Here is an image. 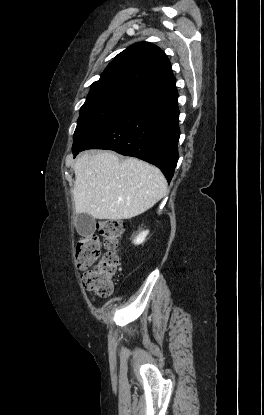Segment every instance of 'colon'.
<instances>
[{
    "label": "colon",
    "mask_w": 264,
    "mask_h": 415,
    "mask_svg": "<svg viewBox=\"0 0 264 415\" xmlns=\"http://www.w3.org/2000/svg\"><path fill=\"white\" fill-rule=\"evenodd\" d=\"M123 232V223L104 221L77 243L76 266L82 271L81 283L86 291L98 297H108L112 293L113 279L119 268L115 249ZM100 238L108 251L99 257Z\"/></svg>",
    "instance_id": "1"
}]
</instances>
